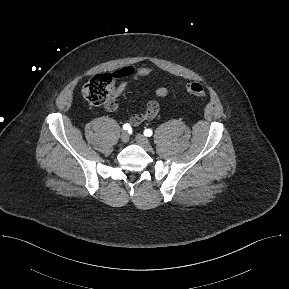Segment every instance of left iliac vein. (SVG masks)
I'll use <instances>...</instances> for the list:
<instances>
[{
  "instance_id": "obj_1",
  "label": "left iliac vein",
  "mask_w": 289,
  "mask_h": 289,
  "mask_svg": "<svg viewBox=\"0 0 289 289\" xmlns=\"http://www.w3.org/2000/svg\"><path fill=\"white\" fill-rule=\"evenodd\" d=\"M136 142L147 152L152 151V146L149 140L142 134L136 135Z\"/></svg>"
}]
</instances>
